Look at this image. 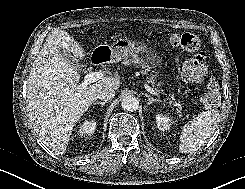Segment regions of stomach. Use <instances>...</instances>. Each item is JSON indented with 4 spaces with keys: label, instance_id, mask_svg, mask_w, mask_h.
I'll list each match as a JSON object with an SVG mask.
<instances>
[{
    "label": "stomach",
    "instance_id": "stomach-1",
    "mask_svg": "<svg viewBox=\"0 0 245 189\" xmlns=\"http://www.w3.org/2000/svg\"><path fill=\"white\" fill-rule=\"evenodd\" d=\"M96 49L108 50L110 60L114 62L128 57H133L135 55H138L139 53H147V57L149 60H155V58H152V54L148 51L147 47L144 44L132 41L127 38H120L110 46L100 45Z\"/></svg>",
    "mask_w": 245,
    "mask_h": 189
}]
</instances>
